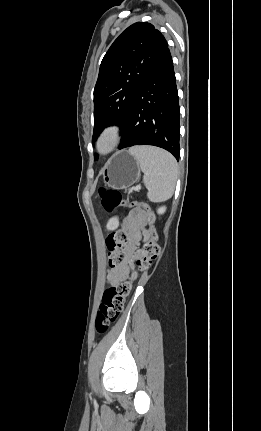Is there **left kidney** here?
Instances as JSON below:
<instances>
[{
	"label": "left kidney",
	"mask_w": 261,
	"mask_h": 431,
	"mask_svg": "<svg viewBox=\"0 0 261 431\" xmlns=\"http://www.w3.org/2000/svg\"><path fill=\"white\" fill-rule=\"evenodd\" d=\"M165 211H166V207H165V206H163V207L158 208L157 213H158V214H164V213H165Z\"/></svg>",
	"instance_id": "1"
}]
</instances>
